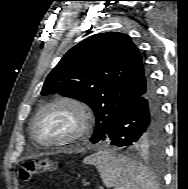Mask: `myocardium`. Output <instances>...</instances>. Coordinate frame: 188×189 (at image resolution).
Masks as SVG:
<instances>
[{"instance_id":"1","label":"myocardium","mask_w":188,"mask_h":189,"mask_svg":"<svg viewBox=\"0 0 188 189\" xmlns=\"http://www.w3.org/2000/svg\"><path fill=\"white\" fill-rule=\"evenodd\" d=\"M52 108H68L76 115L77 125L67 136L51 141L40 140L36 135V125L41 115ZM93 124V115L90 108L80 99L73 96H58L43 104L36 112L31 123L32 138L41 146H60L81 139L89 133Z\"/></svg>"}]
</instances>
